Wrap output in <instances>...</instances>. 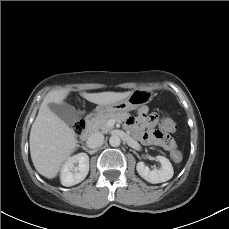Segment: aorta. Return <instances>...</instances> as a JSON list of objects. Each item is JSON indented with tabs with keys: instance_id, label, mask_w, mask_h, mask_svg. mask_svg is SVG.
Listing matches in <instances>:
<instances>
[{
	"instance_id": "1",
	"label": "aorta",
	"mask_w": 229,
	"mask_h": 229,
	"mask_svg": "<svg viewBox=\"0 0 229 229\" xmlns=\"http://www.w3.org/2000/svg\"><path fill=\"white\" fill-rule=\"evenodd\" d=\"M109 144H110L112 147H118V146L121 144V139H120L119 136H117V135H112V136L109 138Z\"/></svg>"
}]
</instances>
